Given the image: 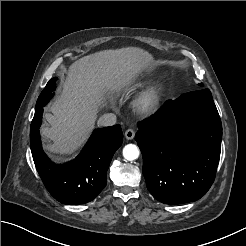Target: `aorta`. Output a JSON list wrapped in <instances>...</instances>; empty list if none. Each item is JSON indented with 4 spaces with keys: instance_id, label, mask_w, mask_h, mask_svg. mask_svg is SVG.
Returning a JSON list of instances; mask_svg holds the SVG:
<instances>
[{
    "instance_id": "1",
    "label": "aorta",
    "mask_w": 246,
    "mask_h": 246,
    "mask_svg": "<svg viewBox=\"0 0 246 246\" xmlns=\"http://www.w3.org/2000/svg\"><path fill=\"white\" fill-rule=\"evenodd\" d=\"M139 148L134 144H127L123 148V157L127 161H133L139 157Z\"/></svg>"
}]
</instances>
